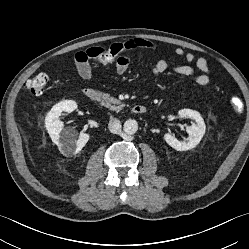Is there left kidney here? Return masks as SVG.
<instances>
[{"mask_svg":"<svg viewBox=\"0 0 249 249\" xmlns=\"http://www.w3.org/2000/svg\"><path fill=\"white\" fill-rule=\"evenodd\" d=\"M180 118H191L195 120L191 126L186 127V131L189 135L188 140L180 142L176 137L172 136L170 133L164 135V139L169 146L177 151H186L196 147L201 141L205 134L206 125L199 112L191 109H181L178 112Z\"/></svg>","mask_w":249,"mask_h":249,"instance_id":"obj_1","label":"left kidney"}]
</instances>
